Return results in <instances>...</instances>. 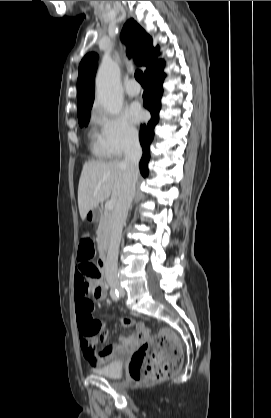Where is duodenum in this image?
<instances>
[{
  "label": "duodenum",
  "mask_w": 271,
  "mask_h": 418,
  "mask_svg": "<svg viewBox=\"0 0 271 418\" xmlns=\"http://www.w3.org/2000/svg\"><path fill=\"white\" fill-rule=\"evenodd\" d=\"M98 266L100 268H102V272L104 273L107 267V256H106V252L102 251L99 261H98Z\"/></svg>",
  "instance_id": "410a0bca"
}]
</instances>
